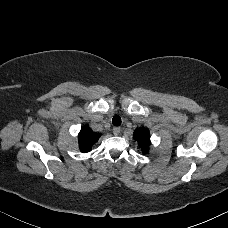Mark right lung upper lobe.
Masks as SVG:
<instances>
[{
  "instance_id": "right-lung-upper-lobe-1",
  "label": "right lung upper lobe",
  "mask_w": 228,
  "mask_h": 228,
  "mask_svg": "<svg viewBox=\"0 0 228 228\" xmlns=\"http://www.w3.org/2000/svg\"><path fill=\"white\" fill-rule=\"evenodd\" d=\"M100 136L101 134L93 132L88 126L82 127L78 134L80 151L83 153L89 152Z\"/></svg>"
}]
</instances>
